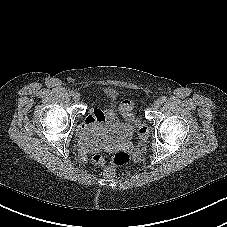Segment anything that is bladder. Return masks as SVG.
<instances>
[{
	"label": "bladder",
	"mask_w": 227,
	"mask_h": 227,
	"mask_svg": "<svg viewBox=\"0 0 227 227\" xmlns=\"http://www.w3.org/2000/svg\"><path fill=\"white\" fill-rule=\"evenodd\" d=\"M105 99L112 108L117 106L118 96L114 92H107ZM136 125L137 120L134 117L127 119L125 117L114 116V119L106 126L104 138L116 143L130 141L134 136Z\"/></svg>",
	"instance_id": "bladder-1"
}]
</instances>
